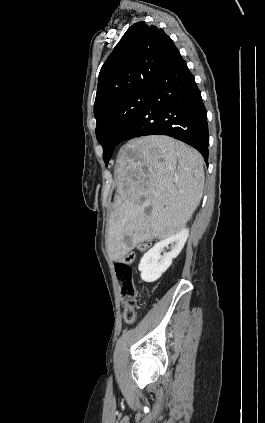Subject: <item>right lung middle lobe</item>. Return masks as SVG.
<instances>
[{
    "mask_svg": "<svg viewBox=\"0 0 265 423\" xmlns=\"http://www.w3.org/2000/svg\"><path fill=\"white\" fill-rule=\"evenodd\" d=\"M149 95L150 89L134 92L105 109L96 118V137L103 147L106 165L121 134L147 103Z\"/></svg>",
    "mask_w": 265,
    "mask_h": 423,
    "instance_id": "right-lung-middle-lobe-1",
    "label": "right lung middle lobe"
}]
</instances>
